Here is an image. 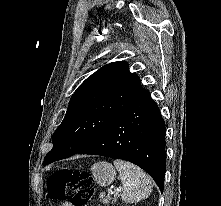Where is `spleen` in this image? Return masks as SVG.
Masks as SVG:
<instances>
[{
  "mask_svg": "<svg viewBox=\"0 0 221 206\" xmlns=\"http://www.w3.org/2000/svg\"><path fill=\"white\" fill-rule=\"evenodd\" d=\"M114 166L119 171L120 180L124 187L122 192L124 202L134 203L150 196L152 182L142 169L122 160H115Z\"/></svg>",
  "mask_w": 221,
  "mask_h": 206,
  "instance_id": "3e777b00",
  "label": "spleen"
}]
</instances>
